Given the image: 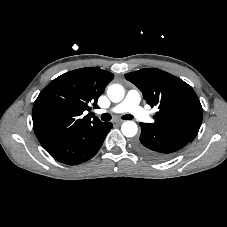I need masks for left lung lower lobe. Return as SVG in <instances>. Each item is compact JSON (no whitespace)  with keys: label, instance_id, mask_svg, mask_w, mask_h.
<instances>
[{"label":"left lung lower lobe","instance_id":"obj_1","mask_svg":"<svg viewBox=\"0 0 227 227\" xmlns=\"http://www.w3.org/2000/svg\"><path fill=\"white\" fill-rule=\"evenodd\" d=\"M141 135L134 147L143 157L152 161H165L191 142L189 139L165 130L153 129L140 123Z\"/></svg>","mask_w":227,"mask_h":227}]
</instances>
